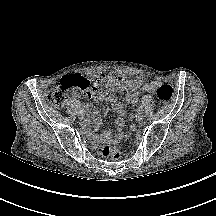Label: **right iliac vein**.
<instances>
[{"instance_id": "63e3f726", "label": "right iliac vein", "mask_w": 216, "mask_h": 216, "mask_svg": "<svg viewBox=\"0 0 216 216\" xmlns=\"http://www.w3.org/2000/svg\"><path fill=\"white\" fill-rule=\"evenodd\" d=\"M78 118H79L80 120H84V119H85V114H79V113H78Z\"/></svg>"}]
</instances>
